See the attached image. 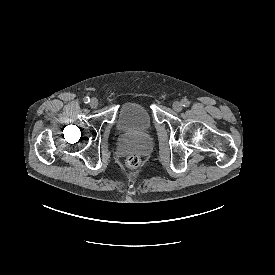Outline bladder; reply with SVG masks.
Wrapping results in <instances>:
<instances>
[{
	"instance_id": "31cf9c89",
	"label": "bladder",
	"mask_w": 275,
	"mask_h": 275,
	"mask_svg": "<svg viewBox=\"0 0 275 275\" xmlns=\"http://www.w3.org/2000/svg\"><path fill=\"white\" fill-rule=\"evenodd\" d=\"M119 134H148L153 120L148 106L139 100H130L118 108L114 122Z\"/></svg>"
}]
</instances>
